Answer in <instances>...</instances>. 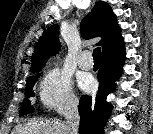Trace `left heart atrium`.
Returning <instances> with one entry per match:
<instances>
[{
	"instance_id": "left-heart-atrium-1",
	"label": "left heart atrium",
	"mask_w": 153,
	"mask_h": 134,
	"mask_svg": "<svg viewBox=\"0 0 153 134\" xmlns=\"http://www.w3.org/2000/svg\"><path fill=\"white\" fill-rule=\"evenodd\" d=\"M81 86L86 90H90L94 87V81L91 77L85 76L81 80Z\"/></svg>"
}]
</instances>
